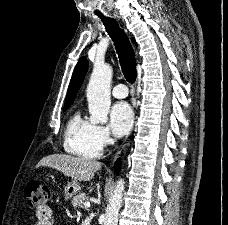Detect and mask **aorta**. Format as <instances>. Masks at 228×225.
I'll use <instances>...</instances> for the list:
<instances>
[{"label": "aorta", "mask_w": 228, "mask_h": 225, "mask_svg": "<svg viewBox=\"0 0 228 225\" xmlns=\"http://www.w3.org/2000/svg\"><path fill=\"white\" fill-rule=\"evenodd\" d=\"M112 74L113 70L110 64L94 62L93 72L87 86L89 121L91 125H98V123L105 125V123H108ZM124 191L125 181L124 179H119L115 185L113 195H111L109 207H107L105 225H117Z\"/></svg>", "instance_id": "obj_1"}]
</instances>
